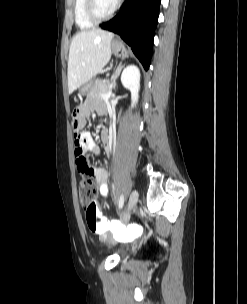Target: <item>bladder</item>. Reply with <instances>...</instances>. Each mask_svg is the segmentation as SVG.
Returning a JSON list of instances; mask_svg holds the SVG:
<instances>
[{
	"label": "bladder",
	"mask_w": 247,
	"mask_h": 304,
	"mask_svg": "<svg viewBox=\"0 0 247 304\" xmlns=\"http://www.w3.org/2000/svg\"><path fill=\"white\" fill-rule=\"evenodd\" d=\"M117 253H118L120 256H123V255L125 254V251L122 250V249H119V250L117 251Z\"/></svg>",
	"instance_id": "31cf9c89"
}]
</instances>
